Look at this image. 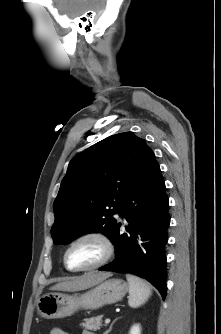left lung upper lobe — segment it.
<instances>
[{
  "mask_svg": "<svg viewBox=\"0 0 221 334\" xmlns=\"http://www.w3.org/2000/svg\"><path fill=\"white\" fill-rule=\"evenodd\" d=\"M154 158L132 132L109 136L75 156L54 201L53 242L67 244L89 232L111 239L117 224L113 215Z\"/></svg>",
  "mask_w": 221,
  "mask_h": 334,
  "instance_id": "5c2ea615",
  "label": "left lung upper lobe"
}]
</instances>
